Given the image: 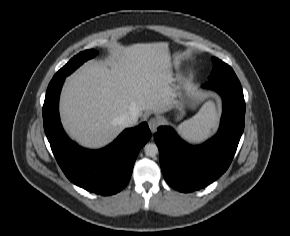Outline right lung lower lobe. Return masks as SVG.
Here are the masks:
<instances>
[{
  "label": "right lung lower lobe",
  "instance_id": "obj_1",
  "mask_svg": "<svg viewBox=\"0 0 290 236\" xmlns=\"http://www.w3.org/2000/svg\"><path fill=\"white\" fill-rule=\"evenodd\" d=\"M65 77H53L43 105L44 129L52 152L71 182L100 195L115 194L129 182L138 152L151 137L148 124L126 129L101 150L80 147L67 137L59 119V95Z\"/></svg>",
  "mask_w": 290,
  "mask_h": 236
}]
</instances>
